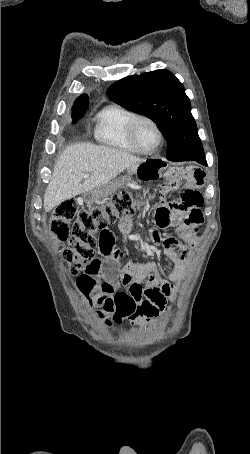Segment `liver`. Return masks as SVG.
Here are the masks:
<instances>
[{
    "label": "liver",
    "instance_id": "obj_1",
    "mask_svg": "<svg viewBox=\"0 0 250 454\" xmlns=\"http://www.w3.org/2000/svg\"><path fill=\"white\" fill-rule=\"evenodd\" d=\"M144 161L126 151L90 143L66 147L54 166L45 191V212L65 200L107 185L125 169ZM88 173L89 177L84 178Z\"/></svg>",
    "mask_w": 250,
    "mask_h": 454
}]
</instances>
